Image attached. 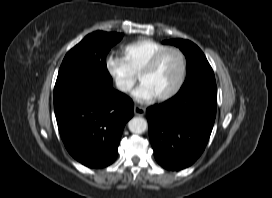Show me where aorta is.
<instances>
[{"mask_svg": "<svg viewBox=\"0 0 272 198\" xmlns=\"http://www.w3.org/2000/svg\"><path fill=\"white\" fill-rule=\"evenodd\" d=\"M129 130L134 134H141L146 131L148 124L144 118L134 117L128 123Z\"/></svg>", "mask_w": 272, "mask_h": 198, "instance_id": "1", "label": "aorta"}]
</instances>
